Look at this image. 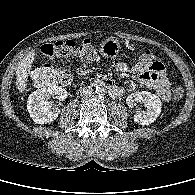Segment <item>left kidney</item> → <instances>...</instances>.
I'll use <instances>...</instances> for the list:
<instances>
[{"mask_svg": "<svg viewBox=\"0 0 195 195\" xmlns=\"http://www.w3.org/2000/svg\"><path fill=\"white\" fill-rule=\"evenodd\" d=\"M138 102L144 103V111H135L134 121L141 125H149L156 121L161 113L162 102L160 98L147 91L135 92L130 94L126 103L129 107L134 108Z\"/></svg>", "mask_w": 195, "mask_h": 195, "instance_id": "obj_1", "label": "left kidney"}]
</instances>
